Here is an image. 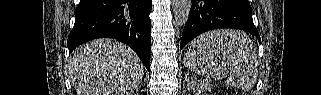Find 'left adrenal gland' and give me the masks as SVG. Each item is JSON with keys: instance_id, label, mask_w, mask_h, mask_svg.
Here are the masks:
<instances>
[{"instance_id": "1", "label": "left adrenal gland", "mask_w": 321, "mask_h": 95, "mask_svg": "<svg viewBox=\"0 0 321 95\" xmlns=\"http://www.w3.org/2000/svg\"><path fill=\"white\" fill-rule=\"evenodd\" d=\"M186 82H187V86L190 87V81L186 80Z\"/></svg>"}]
</instances>
